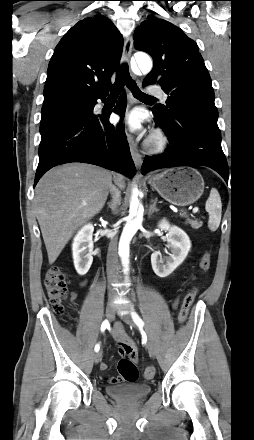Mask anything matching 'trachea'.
<instances>
[{"mask_svg":"<svg viewBox=\"0 0 254 440\" xmlns=\"http://www.w3.org/2000/svg\"><path fill=\"white\" fill-rule=\"evenodd\" d=\"M120 85H126L131 92L133 93L134 97L140 100H155L153 96L147 95L143 93L137 86L136 82L132 79L129 73L128 66L126 64L122 65L120 69L118 70L116 82L113 86L110 88V98H117L120 90Z\"/></svg>","mask_w":254,"mask_h":440,"instance_id":"3493384b","label":"trachea"}]
</instances>
